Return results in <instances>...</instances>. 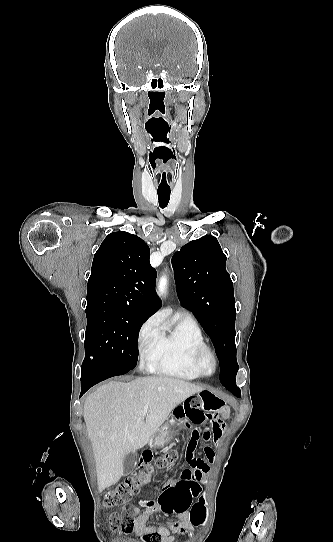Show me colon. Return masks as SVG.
<instances>
[{"label": "colon", "instance_id": "5ec220e1", "mask_svg": "<svg viewBox=\"0 0 333 542\" xmlns=\"http://www.w3.org/2000/svg\"><path fill=\"white\" fill-rule=\"evenodd\" d=\"M146 450V449H145ZM145 450L143 452H145ZM178 457L176 453H170L168 456L163 457L162 467L166 469H172L175 465L173 459ZM190 465L183 467V472L181 474L184 483H179L178 485H171L170 489H162L161 495L159 497L160 502V511L164 517L183 515L184 510L188 512V515L184 518L186 524L191 525L193 523H199L202 514L205 513V508L196 505L198 502V497L196 494H205L207 492V485L205 483H196L193 487L191 483L192 475L195 480H202L204 478L203 473V460L201 458H192L190 460ZM207 467L213 466L212 460L206 461ZM196 469V470H195ZM148 472V469H146ZM146 472L145 477H132L129 474L123 483H120L113 491L109 492L105 497V505L107 506H119L123 504V509L118 512L117 509L113 508L110 510V515L115 517L120 513V520L123 523L124 532L128 533L132 530L133 525L129 523L131 520V513L136 511V504L129 501L133 495L137 492V489L140 485L147 481ZM179 500V501H177ZM113 522H116V519H113ZM102 538L108 537L107 531L101 532ZM147 539H144V542H161V539H158V533L156 531H149L147 533Z\"/></svg>", "mask_w": 333, "mask_h": 542}]
</instances>
